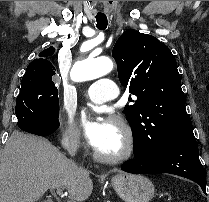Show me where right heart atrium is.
I'll use <instances>...</instances> for the list:
<instances>
[{"label": "right heart atrium", "mask_w": 209, "mask_h": 202, "mask_svg": "<svg viewBox=\"0 0 209 202\" xmlns=\"http://www.w3.org/2000/svg\"><path fill=\"white\" fill-rule=\"evenodd\" d=\"M57 136L63 147L71 153L78 152L82 147V139L72 124L59 125ZM66 166L70 175H77L78 169L72 162H67Z\"/></svg>", "instance_id": "1"}]
</instances>
